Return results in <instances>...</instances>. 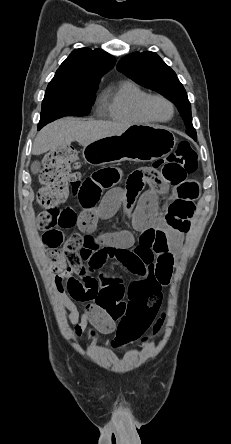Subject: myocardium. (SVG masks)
I'll list each match as a JSON object with an SVG mask.
<instances>
[{"label": "myocardium", "instance_id": "1", "mask_svg": "<svg viewBox=\"0 0 231 444\" xmlns=\"http://www.w3.org/2000/svg\"><path fill=\"white\" fill-rule=\"evenodd\" d=\"M154 100H163V101H165L170 106L171 114H170V116L168 118L162 119V118H159L158 116H156L154 114V112L151 109V104H152V102ZM141 109H142V112L149 119H151L153 121H156V122H162V123L170 121L174 117V114H175V105L172 102V100L169 99L167 96H165L163 94H158V93H156V94H148L146 96V98L142 102Z\"/></svg>", "mask_w": 231, "mask_h": 444}]
</instances>
